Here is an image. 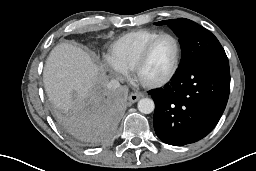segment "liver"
Returning a JSON list of instances; mask_svg holds the SVG:
<instances>
[{
    "label": "liver",
    "mask_w": 256,
    "mask_h": 171,
    "mask_svg": "<svg viewBox=\"0 0 256 171\" xmlns=\"http://www.w3.org/2000/svg\"><path fill=\"white\" fill-rule=\"evenodd\" d=\"M43 82L50 101L64 112L79 109L88 98L95 99L97 87L103 84L100 68L89 54L69 43L59 44L50 52Z\"/></svg>",
    "instance_id": "1"
}]
</instances>
